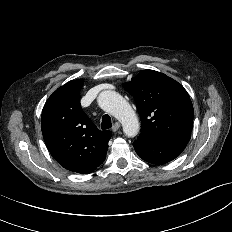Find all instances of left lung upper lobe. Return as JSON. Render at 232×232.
<instances>
[{
    "instance_id": "obj_1",
    "label": "left lung upper lobe",
    "mask_w": 232,
    "mask_h": 232,
    "mask_svg": "<svg viewBox=\"0 0 232 232\" xmlns=\"http://www.w3.org/2000/svg\"><path fill=\"white\" fill-rule=\"evenodd\" d=\"M123 87L134 97L141 118L139 140L190 139L194 110L180 83L144 70Z\"/></svg>"
}]
</instances>
